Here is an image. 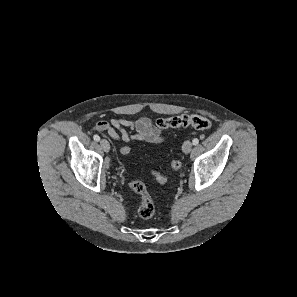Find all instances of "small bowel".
Returning <instances> with one entry per match:
<instances>
[{
    "label": "small bowel",
    "instance_id": "obj_1",
    "mask_svg": "<svg viewBox=\"0 0 297 297\" xmlns=\"http://www.w3.org/2000/svg\"><path fill=\"white\" fill-rule=\"evenodd\" d=\"M96 130L107 132L116 140L128 143L131 140L149 143H161L164 140L161 129L146 117L130 121L124 118L102 120L96 123Z\"/></svg>",
    "mask_w": 297,
    "mask_h": 297
}]
</instances>
